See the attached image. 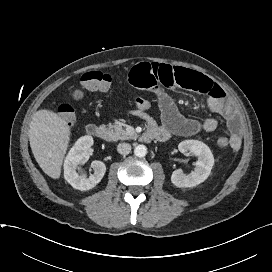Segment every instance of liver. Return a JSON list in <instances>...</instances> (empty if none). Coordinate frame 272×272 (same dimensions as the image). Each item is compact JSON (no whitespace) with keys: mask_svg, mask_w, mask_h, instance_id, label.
<instances>
[{"mask_svg":"<svg viewBox=\"0 0 272 272\" xmlns=\"http://www.w3.org/2000/svg\"><path fill=\"white\" fill-rule=\"evenodd\" d=\"M70 134L67 122L55 112L41 109L34 113L29 130L31 150L43 172L53 179L61 175Z\"/></svg>","mask_w":272,"mask_h":272,"instance_id":"6515ba94","label":"liver"}]
</instances>
